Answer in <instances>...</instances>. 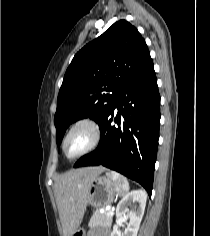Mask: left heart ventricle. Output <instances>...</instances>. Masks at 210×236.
<instances>
[{
	"label": "left heart ventricle",
	"mask_w": 210,
	"mask_h": 236,
	"mask_svg": "<svg viewBox=\"0 0 210 236\" xmlns=\"http://www.w3.org/2000/svg\"><path fill=\"white\" fill-rule=\"evenodd\" d=\"M91 140V133L85 126L76 128L66 143V153L68 156H73L84 149Z\"/></svg>",
	"instance_id": "b2bd125f"
}]
</instances>
